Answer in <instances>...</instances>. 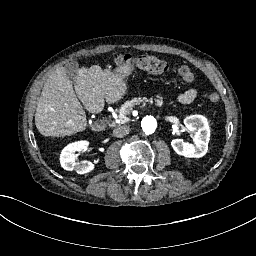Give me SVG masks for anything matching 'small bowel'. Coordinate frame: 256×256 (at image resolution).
<instances>
[{
	"instance_id": "1",
	"label": "small bowel",
	"mask_w": 256,
	"mask_h": 256,
	"mask_svg": "<svg viewBox=\"0 0 256 256\" xmlns=\"http://www.w3.org/2000/svg\"><path fill=\"white\" fill-rule=\"evenodd\" d=\"M196 96L197 90L195 88H188L187 90L179 93L176 96V99L182 104H189L195 100Z\"/></svg>"
}]
</instances>
